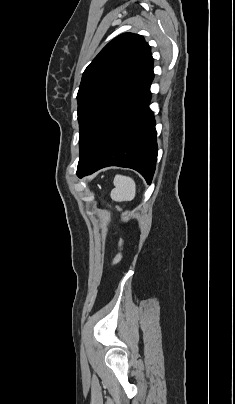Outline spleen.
Returning a JSON list of instances; mask_svg holds the SVG:
<instances>
[{
    "mask_svg": "<svg viewBox=\"0 0 235 404\" xmlns=\"http://www.w3.org/2000/svg\"><path fill=\"white\" fill-rule=\"evenodd\" d=\"M115 188L111 191V198L116 202L131 201L136 194V185L132 178L116 175L114 178Z\"/></svg>",
    "mask_w": 235,
    "mask_h": 404,
    "instance_id": "3e777b00",
    "label": "spleen"
}]
</instances>
